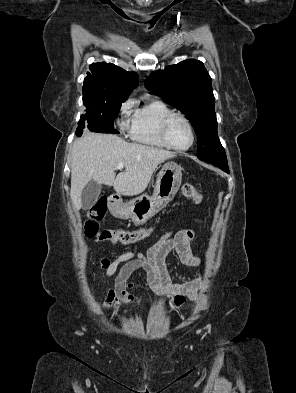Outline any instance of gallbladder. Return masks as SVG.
<instances>
[{
  "instance_id": "obj_1",
  "label": "gallbladder",
  "mask_w": 296,
  "mask_h": 393,
  "mask_svg": "<svg viewBox=\"0 0 296 393\" xmlns=\"http://www.w3.org/2000/svg\"><path fill=\"white\" fill-rule=\"evenodd\" d=\"M102 186L95 181H90L84 187L81 194V203L84 210L90 209L98 200Z\"/></svg>"
}]
</instances>
